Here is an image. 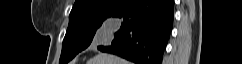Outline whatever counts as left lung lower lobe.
I'll use <instances>...</instances> for the list:
<instances>
[{"label": "left lung lower lobe", "mask_w": 242, "mask_h": 64, "mask_svg": "<svg viewBox=\"0 0 242 64\" xmlns=\"http://www.w3.org/2000/svg\"><path fill=\"white\" fill-rule=\"evenodd\" d=\"M111 18L121 20L110 46L98 50L135 64H161L174 21V0H128Z\"/></svg>", "instance_id": "1"}]
</instances>
